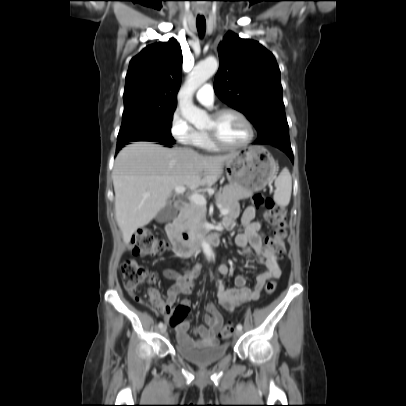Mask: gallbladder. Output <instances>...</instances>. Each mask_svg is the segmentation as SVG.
I'll return each instance as SVG.
<instances>
[{"instance_id": "bac80fb5", "label": "gallbladder", "mask_w": 406, "mask_h": 406, "mask_svg": "<svg viewBox=\"0 0 406 406\" xmlns=\"http://www.w3.org/2000/svg\"><path fill=\"white\" fill-rule=\"evenodd\" d=\"M175 215L176 212L172 202H167L166 206L159 211L155 219L158 223H165L174 219Z\"/></svg>"}]
</instances>
